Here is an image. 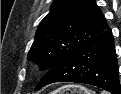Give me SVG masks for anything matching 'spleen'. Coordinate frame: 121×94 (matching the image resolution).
I'll return each instance as SVG.
<instances>
[{
	"label": "spleen",
	"instance_id": "obj_1",
	"mask_svg": "<svg viewBox=\"0 0 121 94\" xmlns=\"http://www.w3.org/2000/svg\"><path fill=\"white\" fill-rule=\"evenodd\" d=\"M101 94H105V92L103 91Z\"/></svg>",
	"mask_w": 121,
	"mask_h": 94
}]
</instances>
